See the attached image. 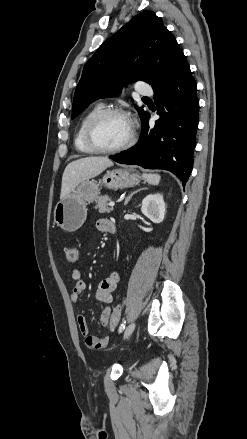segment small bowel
<instances>
[{
	"mask_svg": "<svg viewBox=\"0 0 247 439\" xmlns=\"http://www.w3.org/2000/svg\"><path fill=\"white\" fill-rule=\"evenodd\" d=\"M112 221L108 219H100L96 223V228L100 232H109V227ZM71 278L75 282L74 287L72 289L70 298L72 302L77 303L86 289V283L82 280V274L80 269L74 268L71 271ZM119 280V275L116 271H112L111 274L103 279L96 290V298L104 303L110 304L113 301L112 293L116 289L117 283ZM112 312L111 307H106L101 313L100 322L103 326H107L109 324V318ZM77 323L79 327V331L84 338L85 344L91 349H103L108 345L109 338L108 337H96L89 334L86 318L83 314H78Z\"/></svg>",
	"mask_w": 247,
	"mask_h": 439,
	"instance_id": "small-bowel-1",
	"label": "small bowel"
}]
</instances>
